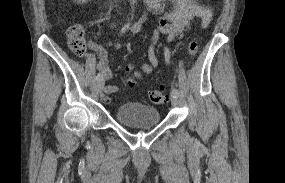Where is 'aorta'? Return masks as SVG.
<instances>
[{
    "mask_svg": "<svg viewBox=\"0 0 285 183\" xmlns=\"http://www.w3.org/2000/svg\"><path fill=\"white\" fill-rule=\"evenodd\" d=\"M131 4L134 5L135 4V0H130Z\"/></svg>",
    "mask_w": 285,
    "mask_h": 183,
    "instance_id": "1",
    "label": "aorta"
}]
</instances>
